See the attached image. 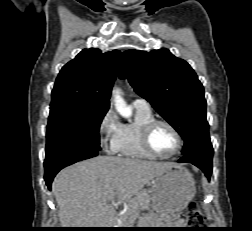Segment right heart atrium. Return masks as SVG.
<instances>
[{"mask_svg":"<svg viewBox=\"0 0 252 231\" xmlns=\"http://www.w3.org/2000/svg\"><path fill=\"white\" fill-rule=\"evenodd\" d=\"M121 125L118 116L111 109L103 114L99 122L98 135L100 141L111 152H116Z\"/></svg>","mask_w":252,"mask_h":231,"instance_id":"1","label":"right heart atrium"}]
</instances>
